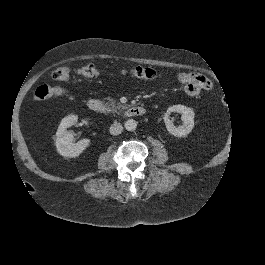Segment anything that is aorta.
Masks as SVG:
<instances>
[{
  "label": "aorta",
  "mask_w": 265,
  "mask_h": 265,
  "mask_svg": "<svg viewBox=\"0 0 265 265\" xmlns=\"http://www.w3.org/2000/svg\"><path fill=\"white\" fill-rule=\"evenodd\" d=\"M124 127L127 131H134L135 128L137 127V123L133 119H128L125 121Z\"/></svg>",
  "instance_id": "762f6f07"
}]
</instances>
